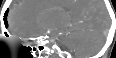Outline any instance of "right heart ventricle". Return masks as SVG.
Wrapping results in <instances>:
<instances>
[{"label": "right heart ventricle", "instance_id": "e07e8e85", "mask_svg": "<svg viewBox=\"0 0 116 58\" xmlns=\"http://www.w3.org/2000/svg\"><path fill=\"white\" fill-rule=\"evenodd\" d=\"M25 6H33V5H31L30 3H26V5Z\"/></svg>", "mask_w": 116, "mask_h": 58}]
</instances>
